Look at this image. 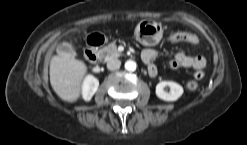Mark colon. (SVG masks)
Masks as SVG:
<instances>
[{
	"label": "colon",
	"mask_w": 247,
	"mask_h": 145,
	"mask_svg": "<svg viewBox=\"0 0 247 145\" xmlns=\"http://www.w3.org/2000/svg\"><path fill=\"white\" fill-rule=\"evenodd\" d=\"M184 38H185V36L183 34H181L180 32L173 33L169 36V40L172 42L182 41ZM203 76H204V71L196 72V74H195L196 80H191V81H188L186 83L187 90L194 91V90L198 89V87H199L198 80L202 79Z\"/></svg>",
	"instance_id": "5ec220e1"
}]
</instances>
